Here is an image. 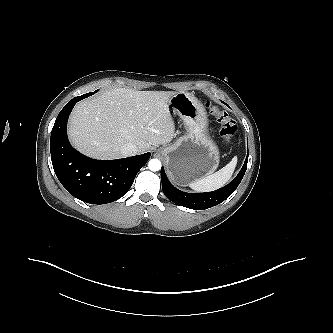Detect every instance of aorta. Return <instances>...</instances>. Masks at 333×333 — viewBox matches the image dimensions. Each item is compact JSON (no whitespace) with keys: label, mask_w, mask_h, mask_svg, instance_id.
<instances>
[{"label":"aorta","mask_w":333,"mask_h":333,"mask_svg":"<svg viewBox=\"0 0 333 333\" xmlns=\"http://www.w3.org/2000/svg\"><path fill=\"white\" fill-rule=\"evenodd\" d=\"M148 168L153 171H159L161 169V162L158 159H151L148 163Z\"/></svg>","instance_id":"aorta-1"}]
</instances>
